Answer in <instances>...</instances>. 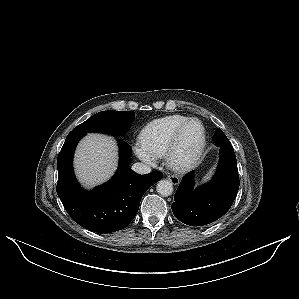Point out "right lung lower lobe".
Segmentation results:
<instances>
[{"instance_id":"right-lung-lower-lobe-1","label":"right lung lower lobe","mask_w":299,"mask_h":299,"mask_svg":"<svg viewBox=\"0 0 299 299\" xmlns=\"http://www.w3.org/2000/svg\"><path fill=\"white\" fill-rule=\"evenodd\" d=\"M83 133L70 132L57 158V194L70 215L80 226L97 233L125 228L135 217L143 194L163 174L158 171L139 175L129 168L132 149L120 142V163L116 174L92 191L79 186L73 172V153Z\"/></svg>"}]
</instances>
